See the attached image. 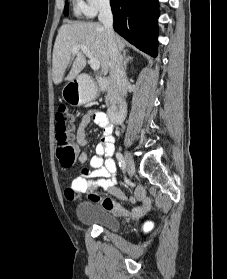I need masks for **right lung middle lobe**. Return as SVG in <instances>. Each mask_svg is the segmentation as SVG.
Segmentation results:
<instances>
[{"label":"right lung middle lobe","instance_id":"right-lung-middle-lobe-1","mask_svg":"<svg viewBox=\"0 0 227 279\" xmlns=\"http://www.w3.org/2000/svg\"><path fill=\"white\" fill-rule=\"evenodd\" d=\"M69 14V8H68V2H66L65 7H64V15L68 16Z\"/></svg>","mask_w":227,"mask_h":279}]
</instances>
